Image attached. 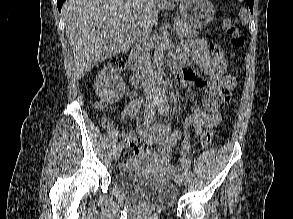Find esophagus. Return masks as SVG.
<instances>
[{"label": "esophagus", "mask_w": 293, "mask_h": 219, "mask_svg": "<svg viewBox=\"0 0 293 219\" xmlns=\"http://www.w3.org/2000/svg\"><path fill=\"white\" fill-rule=\"evenodd\" d=\"M158 1L166 3L167 0H158Z\"/></svg>", "instance_id": "34e87169"}]
</instances>
